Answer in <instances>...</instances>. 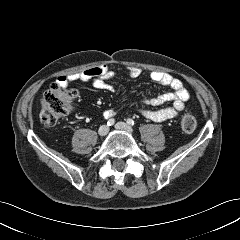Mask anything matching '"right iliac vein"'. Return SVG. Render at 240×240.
I'll use <instances>...</instances> for the list:
<instances>
[{"mask_svg":"<svg viewBox=\"0 0 240 240\" xmlns=\"http://www.w3.org/2000/svg\"><path fill=\"white\" fill-rule=\"evenodd\" d=\"M108 132H109V127L107 125H102L98 130L99 135L102 137L106 136Z\"/></svg>","mask_w":240,"mask_h":240,"instance_id":"right-iliac-vein-1","label":"right iliac vein"}]
</instances>
